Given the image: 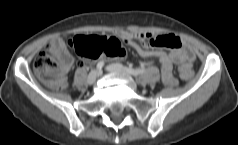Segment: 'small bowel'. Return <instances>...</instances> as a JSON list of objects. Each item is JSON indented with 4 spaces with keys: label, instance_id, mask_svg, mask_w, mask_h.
Wrapping results in <instances>:
<instances>
[{
    "label": "small bowel",
    "instance_id": "obj_1",
    "mask_svg": "<svg viewBox=\"0 0 238 145\" xmlns=\"http://www.w3.org/2000/svg\"><path fill=\"white\" fill-rule=\"evenodd\" d=\"M115 35L126 45L133 48L141 57L157 59L161 64L162 81L167 86H174L177 83L173 75L175 64L191 67L190 63L194 60V53L190 45L172 34L154 37L151 33H132L124 29H118L115 31ZM53 43L56 45L53 55L60 61V73L63 77L73 65L74 60L61 39H55ZM147 44L152 47L167 48L174 51L167 53L161 49L151 48ZM80 64H83V62H80Z\"/></svg>",
    "mask_w": 238,
    "mask_h": 145
}]
</instances>
